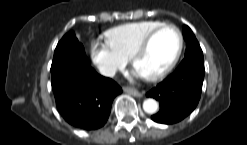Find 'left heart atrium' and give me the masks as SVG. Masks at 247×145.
Returning <instances> with one entry per match:
<instances>
[{"label": "left heart atrium", "instance_id": "obj_1", "mask_svg": "<svg viewBox=\"0 0 247 145\" xmlns=\"http://www.w3.org/2000/svg\"><path fill=\"white\" fill-rule=\"evenodd\" d=\"M136 74H137V75H142V74H141L140 72H138L137 70H136Z\"/></svg>", "mask_w": 247, "mask_h": 145}]
</instances>
